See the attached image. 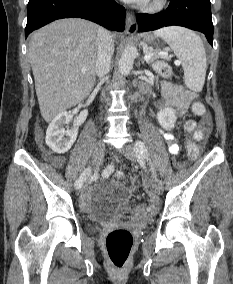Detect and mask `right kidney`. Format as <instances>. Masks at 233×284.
Returning a JSON list of instances; mask_svg holds the SVG:
<instances>
[{
  "instance_id": "ca27d5eb",
  "label": "right kidney",
  "mask_w": 233,
  "mask_h": 284,
  "mask_svg": "<svg viewBox=\"0 0 233 284\" xmlns=\"http://www.w3.org/2000/svg\"><path fill=\"white\" fill-rule=\"evenodd\" d=\"M87 115V110L81 111L76 117L74 127L70 130H65L64 125L70 122V116L66 111L58 114L46 131V144L58 154H64L69 151L77 138L78 128L85 122Z\"/></svg>"
}]
</instances>
